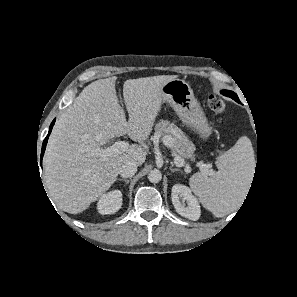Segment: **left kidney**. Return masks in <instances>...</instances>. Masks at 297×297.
Listing matches in <instances>:
<instances>
[{"label":"left kidney","mask_w":297,"mask_h":297,"mask_svg":"<svg viewBox=\"0 0 297 297\" xmlns=\"http://www.w3.org/2000/svg\"><path fill=\"white\" fill-rule=\"evenodd\" d=\"M171 194L172 203L178 214L193 221L199 219L201 215L199 202L187 186L176 184L172 187Z\"/></svg>","instance_id":"left-kidney-1"}]
</instances>
